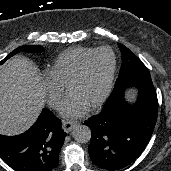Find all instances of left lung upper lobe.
Listing matches in <instances>:
<instances>
[{
  "label": "left lung upper lobe",
  "mask_w": 171,
  "mask_h": 171,
  "mask_svg": "<svg viewBox=\"0 0 171 171\" xmlns=\"http://www.w3.org/2000/svg\"><path fill=\"white\" fill-rule=\"evenodd\" d=\"M118 46L122 54V66L113 92L105 105L122 95L127 86H135L141 90L154 89L149 70L142 61L124 45L118 44Z\"/></svg>",
  "instance_id": "left-lung-upper-lobe-1"
}]
</instances>
